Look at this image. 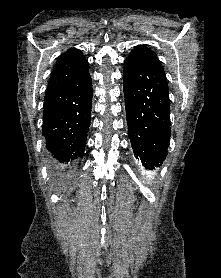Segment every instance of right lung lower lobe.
<instances>
[{"mask_svg":"<svg viewBox=\"0 0 221 278\" xmlns=\"http://www.w3.org/2000/svg\"><path fill=\"white\" fill-rule=\"evenodd\" d=\"M43 136L53 166L62 176L72 173L83 155L91 120L92 81L89 72L47 89L44 98Z\"/></svg>","mask_w":221,"mask_h":278,"instance_id":"obj_1","label":"right lung lower lobe"}]
</instances>
